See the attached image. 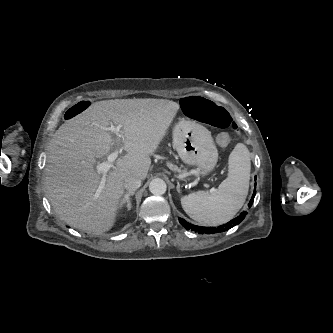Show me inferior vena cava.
Masks as SVG:
<instances>
[{
    "instance_id": "inferior-vena-cava-1",
    "label": "inferior vena cava",
    "mask_w": 333,
    "mask_h": 333,
    "mask_svg": "<svg viewBox=\"0 0 333 333\" xmlns=\"http://www.w3.org/2000/svg\"><path fill=\"white\" fill-rule=\"evenodd\" d=\"M141 186V179L131 176L125 179L124 181V188L128 192H134Z\"/></svg>"
}]
</instances>
